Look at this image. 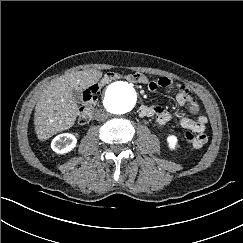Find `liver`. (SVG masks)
<instances>
[{"label":"liver","mask_w":243,"mask_h":243,"mask_svg":"<svg viewBox=\"0 0 243 243\" xmlns=\"http://www.w3.org/2000/svg\"><path fill=\"white\" fill-rule=\"evenodd\" d=\"M102 76L98 70L76 71L52 80L41 92L35 107L34 124L39 140L45 141L71 128L78 114L72 91L88 88Z\"/></svg>","instance_id":"liver-1"}]
</instances>
